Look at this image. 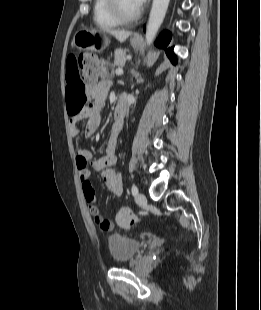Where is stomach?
<instances>
[{"label":"stomach","mask_w":261,"mask_h":310,"mask_svg":"<svg viewBox=\"0 0 261 310\" xmlns=\"http://www.w3.org/2000/svg\"><path fill=\"white\" fill-rule=\"evenodd\" d=\"M109 43L107 36L93 29H83L78 31L73 38V44L80 50L102 51ZM131 45L137 48L139 44L131 41Z\"/></svg>","instance_id":"0dacf381"}]
</instances>
